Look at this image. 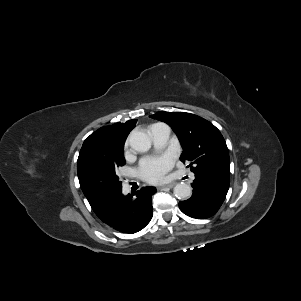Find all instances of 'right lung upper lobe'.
Segmentation results:
<instances>
[{
	"label": "right lung upper lobe",
	"instance_id": "obj_1",
	"mask_svg": "<svg viewBox=\"0 0 301 301\" xmlns=\"http://www.w3.org/2000/svg\"><path fill=\"white\" fill-rule=\"evenodd\" d=\"M137 120L132 119L126 123H115L105 126L92 133L83 143L81 149L86 148L92 143L103 144L111 147H124V142L135 127Z\"/></svg>",
	"mask_w": 301,
	"mask_h": 301
}]
</instances>
